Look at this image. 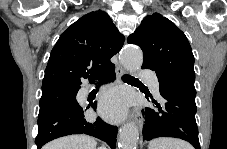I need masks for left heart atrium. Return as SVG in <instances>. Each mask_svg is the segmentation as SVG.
<instances>
[{"instance_id": "39dd6f15", "label": "left heart atrium", "mask_w": 227, "mask_h": 149, "mask_svg": "<svg viewBox=\"0 0 227 149\" xmlns=\"http://www.w3.org/2000/svg\"><path fill=\"white\" fill-rule=\"evenodd\" d=\"M128 106L127 96L121 91H111L101 100L102 114L111 120L122 118Z\"/></svg>"}]
</instances>
